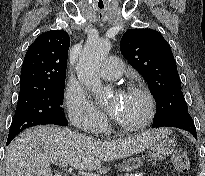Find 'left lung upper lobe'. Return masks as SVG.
Listing matches in <instances>:
<instances>
[{"label":"left lung upper lobe","instance_id":"1","mask_svg":"<svg viewBox=\"0 0 205 176\" xmlns=\"http://www.w3.org/2000/svg\"><path fill=\"white\" fill-rule=\"evenodd\" d=\"M120 50L129 64L147 81L157 101L153 123H161L188 111L170 45L158 31L127 30L121 39Z\"/></svg>","mask_w":205,"mask_h":176}]
</instances>
